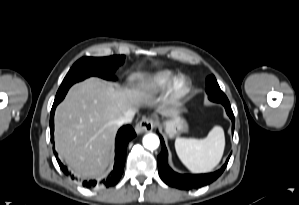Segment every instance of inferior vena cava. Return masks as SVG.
Returning <instances> with one entry per match:
<instances>
[{"mask_svg":"<svg viewBox=\"0 0 299 205\" xmlns=\"http://www.w3.org/2000/svg\"><path fill=\"white\" fill-rule=\"evenodd\" d=\"M134 112L130 111V112H127L124 116L120 117L118 120H117V125L118 126H121L123 124H127V123H130L132 122V119L134 117Z\"/></svg>","mask_w":299,"mask_h":205,"instance_id":"1","label":"inferior vena cava"}]
</instances>
